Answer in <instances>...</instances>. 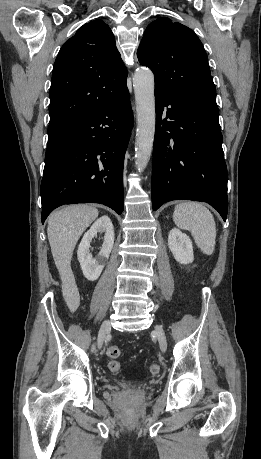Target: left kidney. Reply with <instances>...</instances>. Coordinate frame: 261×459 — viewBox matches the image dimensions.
I'll list each match as a JSON object with an SVG mask.
<instances>
[{
  "label": "left kidney",
  "mask_w": 261,
  "mask_h": 459,
  "mask_svg": "<svg viewBox=\"0 0 261 459\" xmlns=\"http://www.w3.org/2000/svg\"><path fill=\"white\" fill-rule=\"evenodd\" d=\"M168 246L175 260L180 264L192 263L194 260L192 241L179 229L173 228L168 235Z\"/></svg>",
  "instance_id": "1"
}]
</instances>
